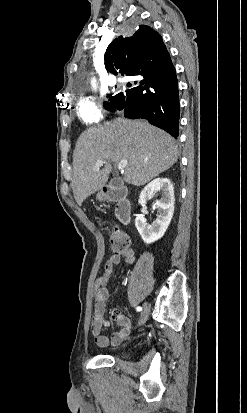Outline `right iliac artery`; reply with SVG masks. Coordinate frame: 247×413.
<instances>
[{"label":"right iliac artery","mask_w":247,"mask_h":413,"mask_svg":"<svg viewBox=\"0 0 247 413\" xmlns=\"http://www.w3.org/2000/svg\"><path fill=\"white\" fill-rule=\"evenodd\" d=\"M142 310V307H137V311H141Z\"/></svg>","instance_id":"right-iliac-artery-1"}]
</instances>
